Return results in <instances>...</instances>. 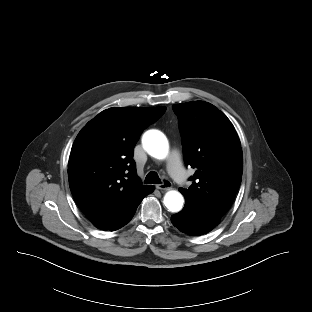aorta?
I'll list each match as a JSON object with an SVG mask.
<instances>
[{"label":"aorta","mask_w":312,"mask_h":312,"mask_svg":"<svg viewBox=\"0 0 312 312\" xmlns=\"http://www.w3.org/2000/svg\"><path fill=\"white\" fill-rule=\"evenodd\" d=\"M145 150L157 159H163L169 151V143L166 136L158 130L147 131L142 140ZM184 203L183 196L178 191H168L164 196V204L171 212H178Z\"/></svg>","instance_id":"aorta-1"}]
</instances>
